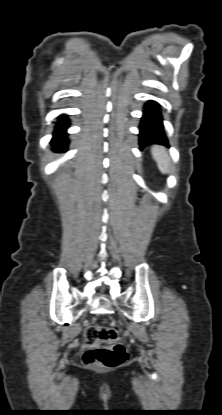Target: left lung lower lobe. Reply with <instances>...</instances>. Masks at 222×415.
Returning <instances> with one entry per match:
<instances>
[{"label": "left lung lower lobe", "instance_id": "left-lung-lower-lobe-1", "mask_svg": "<svg viewBox=\"0 0 222 415\" xmlns=\"http://www.w3.org/2000/svg\"><path fill=\"white\" fill-rule=\"evenodd\" d=\"M162 120L160 105L155 101H149L144 107L139 127L140 149L151 144L168 146Z\"/></svg>", "mask_w": 222, "mask_h": 415}]
</instances>
